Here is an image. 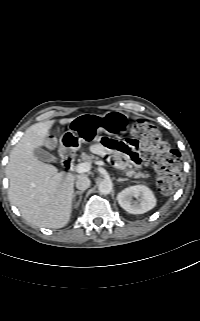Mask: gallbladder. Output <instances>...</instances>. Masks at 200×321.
<instances>
[{
	"label": "gallbladder",
	"instance_id": "bac80fb5",
	"mask_svg": "<svg viewBox=\"0 0 200 321\" xmlns=\"http://www.w3.org/2000/svg\"><path fill=\"white\" fill-rule=\"evenodd\" d=\"M34 156L43 162H56V157H54L49 152L45 151L42 148H37L34 150Z\"/></svg>",
	"mask_w": 200,
	"mask_h": 321
}]
</instances>
